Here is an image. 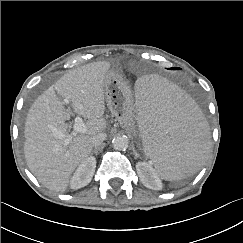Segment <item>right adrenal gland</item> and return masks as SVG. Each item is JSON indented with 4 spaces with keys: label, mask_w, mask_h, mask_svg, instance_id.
Here are the masks:
<instances>
[{
    "label": "right adrenal gland",
    "mask_w": 243,
    "mask_h": 243,
    "mask_svg": "<svg viewBox=\"0 0 243 243\" xmlns=\"http://www.w3.org/2000/svg\"><path fill=\"white\" fill-rule=\"evenodd\" d=\"M97 153H98V146L92 150L91 155L93 154L97 155Z\"/></svg>",
    "instance_id": "2a0ac1e0"
}]
</instances>
